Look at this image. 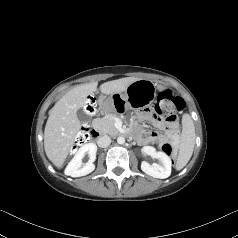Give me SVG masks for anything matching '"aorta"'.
I'll return each mask as SVG.
<instances>
[{"label":"aorta","mask_w":238,"mask_h":238,"mask_svg":"<svg viewBox=\"0 0 238 238\" xmlns=\"http://www.w3.org/2000/svg\"><path fill=\"white\" fill-rule=\"evenodd\" d=\"M117 142H118V144H124L125 143V138L120 136V137L117 138Z\"/></svg>","instance_id":"762f6f07"}]
</instances>
